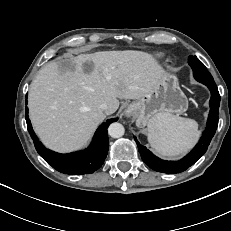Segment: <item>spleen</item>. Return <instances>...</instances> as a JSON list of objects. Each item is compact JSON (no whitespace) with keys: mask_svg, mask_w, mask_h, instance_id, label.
Listing matches in <instances>:
<instances>
[{"mask_svg":"<svg viewBox=\"0 0 231 231\" xmlns=\"http://www.w3.org/2000/svg\"><path fill=\"white\" fill-rule=\"evenodd\" d=\"M200 135L195 120L163 114L148 124V141L161 156H176L188 151Z\"/></svg>","mask_w":231,"mask_h":231,"instance_id":"1","label":"spleen"}]
</instances>
